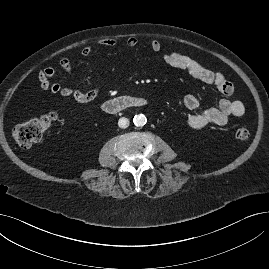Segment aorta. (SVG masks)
<instances>
[{
    "label": "aorta",
    "mask_w": 269,
    "mask_h": 269,
    "mask_svg": "<svg viewBox=\"0 0 269 269\" xmlns=\"http://www.w3.org/2000/svg\"><path fill=\"white\" fill-rule=\"evenodd\" d=\"M146 122H147V119H146L145 115H143V114L135 115L133 118V123L137 127L144 126L146 124Z\"/></svg>",
    "instance_id": "762f6f07"
}]
</instances>
